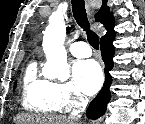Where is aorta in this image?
Instances as JSON below:
<instances>
[{
    "label": "aorta",
    "mask_w": 145,
    "mask_h": 124,
    "mask_svg": "<svg viewBox=\"0 0 145 124\" xmlns=\"http://www.w3.org/2000/svg\"><path fill=\"white\" fill-rule=\"evenodd\" d=\"M66 26L61 15H52L43 36V50L47 62L42 74L46 79L66 81L70 76L67 52L64 47Z\"/></svg>",
    "instance_id": "obj_1"
}]
</instances>
